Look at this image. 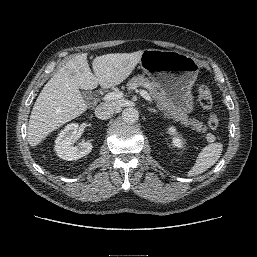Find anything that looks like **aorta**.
I'll return each instance as SVG.
<instances>
[{"mask_svg":"<svg viewBox=\"0 0 257 257\" xmlns=\"http://www.w3.org/2000/svg\"><path fill=\"white\" fill-rule=\"evenodd\" d=\"M122 119L126 123H135L139 119V112L135 108L127 107L122 111Z\"/></svg>","mask_w":257,"mask_h":257,"instance_id":"aorta-1","label":"aorta"}]
</instances>
